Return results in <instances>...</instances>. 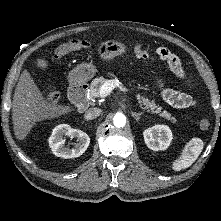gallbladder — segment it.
Returning a JSON list of instances; mask_svg holds the SVG:
<instances>
[{
	"instance_id": "obj_1",
	"label": "gallbladder",
	"mask_w": 221,
	"mask_h": 221,
	"mask_svg": "<svg viewBox=\"0 0 221 221\" xmlns=\"http://www.w3.org/2000/svg\"><path fill=\"white\" fill-rule=\"evenodd\" d=\"M34 65L35 67L40 70V71H45L48 69L49 67V62L48 60L43 57V56H38L35 58L34 60Z\"/></svg>"
}]
</instances>
